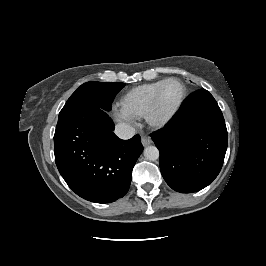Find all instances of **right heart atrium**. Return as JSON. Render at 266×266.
I'll return each mask as SVG.
<instances>
[{"label": "right heart atrium", "mask_w": 266, "mask_h": 266, "mask_svg": "<svg viewBox=\"0 0 266 266\" xmlns=\"http://www.w3.org/2000/svg\"><path fill=\"white\" fill-rule=\"evenodd\" d=\"M112 111H113V116L117 121L131 122L133 120V116L123 108L115 106L113 107Z\"/></svg>", "instance_id": "d8ad5b80"}]
</instances>
